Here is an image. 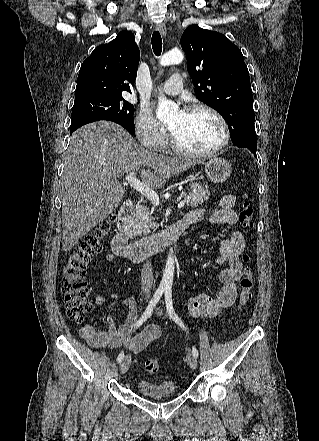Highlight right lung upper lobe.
<instances>
[{
	"mask_svg": "<svg viewBox=\"0 0 319 441\" xmlns=\"http://www.w3.org/2000/svg\"><path fill=\"white\" fill-rule=\"evenodd\" d=\"M140 59L134 34L121 31L108 44L97 46L81 65L76 99L94 96L122 97V92L131 93Z\"/></svg>",
	"mask_w": 319,
	"mask_h": 441,
	"instance_id": "right-lung-upper-lobe-1",
	"label": "right lung upper lobe"
}]
</instances>
